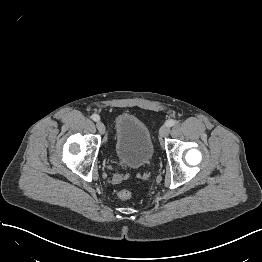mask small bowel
I'll use <instances>...</instances> for the list:
<instances>
[{
    "label": "small bowel",
    "instance_id": "obj_1",
    "mask_svg": "<svg viewBox=\"0 0 262 262\" xmlns=\"http://www.w3.org/2000/svg\"><path fill=\"white\" fill-rule=\"evenodd\" d=\"M119 182V179L118 178H114L113 179V183H118Z\"/></svg>",
    "mask_w": 262,
    "mask_h": 262
}]
</instances>
